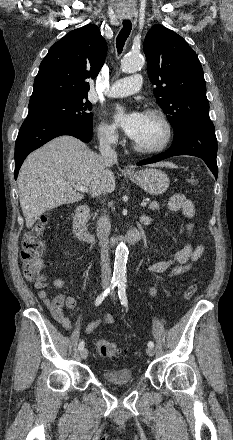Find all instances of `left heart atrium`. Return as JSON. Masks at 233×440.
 I'll list each match as a JSON object with an SVG mask.
<instances>
[{
  "mask_svg": "<svg viewBox=\"0 0 233 440\" xmlns=\"http://www.w3.org/2000/svg\"><path fill=\"white\" fill-rule=\"evenodd\" d=\"M144 117L145 115L142 112L128 110L121 105L116 106L113 112L115 124L133 140L137 137L142 128Z\"/></svg>",
  "mask_w": 233,
  "mask_h": 440,
  "instance_id": "1",
  "label": "left heart atrium"
}]
</instances>
